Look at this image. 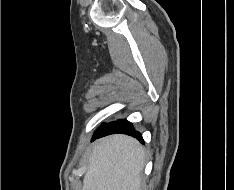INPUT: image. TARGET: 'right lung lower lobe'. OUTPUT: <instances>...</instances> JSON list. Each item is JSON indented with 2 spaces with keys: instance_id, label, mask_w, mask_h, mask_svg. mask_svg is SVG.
Listing matches in <instances>:
<instances>
[{
  "instance_id": "1",
  "label": "right lung lower lobe",
  "mask_w": 234,
  "mask_h": 190,
  "mask_svg": "<svg viewBox=\"0 0 234 190\" xmlns=\"http://www.w3.org/2000/svg\"><path fill=\"white\" fill-rule=\"evenodd\" d=\"M115 133H123L130 136H133L137 138L140 142L144 143L143 138L140 133H138L132 126V123L123 119L114 121L108 124H105L101 128H99L94 136L93 140L96 138H100L109 134H115Z\"/></svg>"
}]
</instances>
